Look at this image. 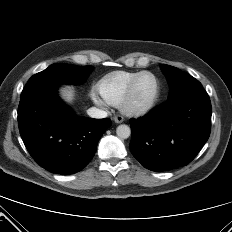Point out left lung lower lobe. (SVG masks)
<instances>
[{
    "instance_id": "left-lung-lower-lobe-1",
    "label": "left lung lower lobe",
    "mask_w": 232,
    "mask_h": 232,
    "mask_svg": "<svg viewBox=\"0 0 232 232\" xmlns=\"http://www.w3.org/2000/svg\"><path fill=\"white\" fill-rule=\"evenodd\" d=\"M211 102L202 86L187 89L139 119L130 120L133 156L147 169L189 164L209 138Z\"/></svg>"
}]
</instances>
